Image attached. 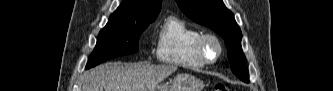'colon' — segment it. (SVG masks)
I'll return each mask as SVG.
<instances>
[{
	"label": "colon",
	"instance_id": "1",
	"mask_svg": "<svg viewBox=\"0 0 333 91\" xmlns=\"http://www.w3.org/2000/svg\"><path fill=\"white\" fill-rule=\"evenodd\" d=\"M214 90L215 91H228V88L224 84H222V83H217L214 86Z\"/></svg>",
	"mask_w": 333,
	"mask_h": 91
}]
</instances>
